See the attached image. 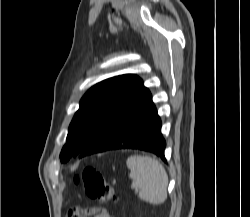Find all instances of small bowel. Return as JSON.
I'll return each instance as SVG.
<instances>
[{
	"instance_id": "obj_1",
	"label": "small bowel",
	"mask_w": 250,
	"mask_h": 217,
	"mask_svg": "<svg viewBox=\"0 0 250 217\" xmlns=\"http://www.w3.org/2000/svg\"><path fill=\"white\" fill-rule=\"evenodd\" d=\"M94 217H112V216L105 211H100Z\"/></svg>"
}]
</instances>
